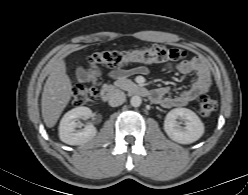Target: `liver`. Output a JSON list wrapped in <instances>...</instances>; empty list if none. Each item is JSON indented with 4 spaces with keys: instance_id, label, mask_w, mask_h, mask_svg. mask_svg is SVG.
Wrapping results in <instances>:
<instances>
[{
    "instance_id": "6515ba94",
    "label": "liver",
    "mask_w": 248,
    "mask_h": 195,
    "mask_svg": "<svg viewBox=\"0 0 248 195\" xmlns=\"http://www.w3.org/2000/svg\"><path fill=\"white\" fill-rule=\"evenodd\" d=\"M72 95V83L66 74V64L60 59L51 66L41 98L42 117L48 128L55 126Z\"/></svg>"
}]
</instances>
